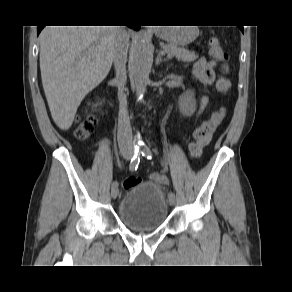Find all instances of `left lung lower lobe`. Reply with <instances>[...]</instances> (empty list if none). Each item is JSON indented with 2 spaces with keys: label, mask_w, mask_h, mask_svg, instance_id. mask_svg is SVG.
Listing matches in <instances>:
<instances>
[{
  "label": "left lung lower lobe",
  "mask_w": 292,
  "mask_h": 292,
  "mask_svg": "<svg viewBox=\"0 0 292 292\" xmlns=\"http://www.w3.org/2000/svg\"><path fill=\"white\" fill-rule=\"evenodd\" d=\"M239 28H240V30H241L242 32H244V28H243V26H239Z\"/></svg>",
  "instance_id": "0a47b994"
}]
</instances>
